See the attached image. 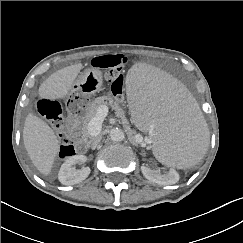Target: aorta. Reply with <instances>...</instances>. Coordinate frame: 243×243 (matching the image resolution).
Here are the masks:
<instances>
[{"label": "aorta", "mask_w": 243, "mask_h": 243, "mask_svg": "<svg viewBox=\"0 0 243 243\" xmlns=\"http://www.w3.org/2000/svg\"><path fill=\"white\" fill-rule=\"evenodd\" d=\"M109 137L113 141H122L125 138V133L120 128H112L109 131Z\"/></svg>", "instance_id": "762f6f07"}]
</instances>
